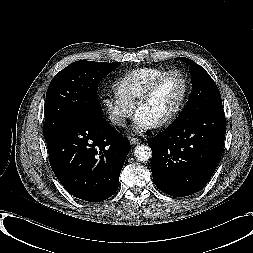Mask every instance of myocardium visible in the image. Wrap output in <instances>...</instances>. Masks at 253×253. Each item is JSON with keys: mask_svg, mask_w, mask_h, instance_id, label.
<instances>
[{"mask_svg": "<svg viewBox=\"0 0 253 253\" xmlns=\"http://www.w3.org/2000/svg\"><path fill=\"white\" fill-rule=\"evenodd\" d=\"M170 75H177L181 78L183 82V95L181 98L180 103L176 107V109L166 118H164L162 121L155 124L156 127H164L172 124L183 112L189 98L190 93V85L187 76L179 69H170L166 70L162 74H160L158 77H156L144 90L140 98L135 104V110L138 112V110L146 104L153 94L155 93L156 89L160 85V83L168 76Z\"/></svg>", "mask_w": 253, "mask_h": 253, "instance_id": "obj_1", "label": "myocardium"}]
</instances>
